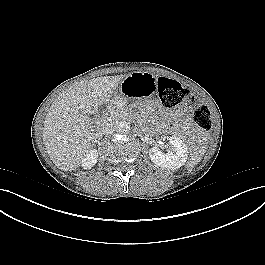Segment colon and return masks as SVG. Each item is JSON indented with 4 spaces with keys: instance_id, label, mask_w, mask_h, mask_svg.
Segmentation results:
<instances>
[{
    "instance_id": "colon-1",
    "label": "colon",
    "mask_w": 265,
    "mask_h": 265,
    "mask_svg": "<svg viewBox=\"0 0 265 265\" xmlns=\"http://www.w3.org/2000/svg\"><path fill=\"white\" fill-rule=\"evenodd\" d=\"M157 87L161 103L166 109H173L180 104L194 105L196 103V99L191 91L173 79L160 77ZM193 120L201 129L205 131L211 129L210 112L206 106L200 105L195 108Z\"/></svg>"
}]
</instances>
